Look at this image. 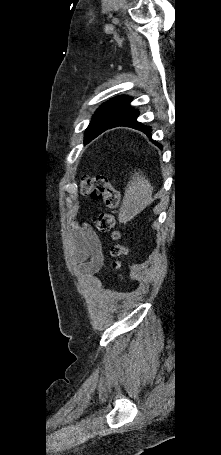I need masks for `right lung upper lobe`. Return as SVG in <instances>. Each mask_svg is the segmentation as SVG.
Instances as JSON below:
<instances>
[{"mask_svg":"<svg viewBox=\"0 0 221 455\" xmlns=\"http://www.w3.org/2000/svg\"><path fill=\"white\" fill-rule=\"evenodd\" d=\"M130 101H131L130 97L120 96V97L111 99V101L106 102L103 105L104 106H111V107H114V108L123 109V110L129 112L130 110L133 109V108H131L129 106Z\"/></svg>","mask_w":221,"mask_h":455,"instance_id":"1","label":"right lung upper lobe"}]
</instances>
